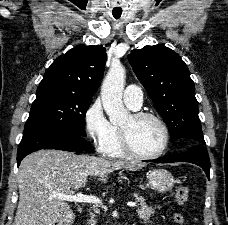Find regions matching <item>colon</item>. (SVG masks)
Segmentation results:
<instances>
[{"instance_id":"obj_1","label":"colon","mask_w":228,"mask_h":225,"mask_svg":"<svg viewBox=\"0 0 228 225\" xmlns=\"http://www.w3.org/2000/svg\"><path fill=\"white\" fill-rule=\"evenodd\" d=\"M189 190L187 186L180 185L176 189V200L179 204H183L188 198ZM173 222L175 225H185V218L180 211L173 215Z\"/></svg>"}]
</instances>
